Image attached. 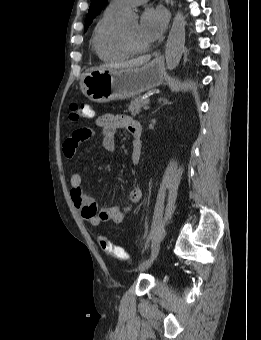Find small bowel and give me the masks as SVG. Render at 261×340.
I'll return each mask as SVG.
<instances>
[{
  "label": "small bowel",
  "mask_w": 261,
  "mask_h": 340,
  "mask_svg": "<svg viewBox=\"0 0 261 340\" xmlns=\"http://www.w3.org/2000/svg\"><path fill=\"white\" fill-rule=\"evenodd\" d=\"M96 126L101 130L102 147L113 152L115 149V135L117 130L126 129L132 138L131 160L138 164L141 157V126L139 122L126 115L103 114L96 120ZM95 130L89 127H82L75 130L63 144V154L72 158L83 141L93 137ZM71 197L79 215L91 226H98L101 222L112 221L120 224L133 206L139 203L142 197V189L134 187L128 194L129 203L124 206H112L99 208L97 201L82 183V177L74 172L70 178Z\"/></svg>",
  "instance_id": "obj_1"
}]
</instances>
